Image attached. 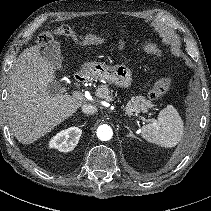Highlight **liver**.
I'll return each mask as SVG.
<instances>
[{
    "instance_id": "obj_1",
    "label": "liver",
    "mask_w": 211,
    "mask_h": 211,
    "mask_svg": "<svg viewBox=\"0 0 211 211\" xmlns=\"http://www.w3.org/2000/svg\"><path fill=\"white\" fill-rule=\"evenodd\" d=\"M39 50L38 45L25 49L10 74L9 126L22 144L37 141L85 103L57 84L55 69Z\"/></svg>"
}]
</instances>
